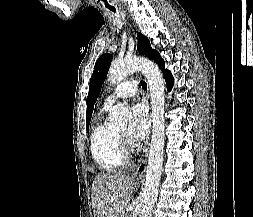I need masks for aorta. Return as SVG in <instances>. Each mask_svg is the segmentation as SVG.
Listing matches in <instances>:
<instances>
[{
  "label": "aorta",
  "instance_id": "762f6f07",
  "mask_svg": "<svg viewBox=\"0 0 253 217\" xmlns=\"http://www.w3.org/2000/svg\"><path fill=\"white\" fill-rule=\"evenodd\" d=\"M140 71L148 80L152 109V140L145 175L144 199L141 217H151L158 196L165 144V85L161 71L153 62L145 59L125 58L114 62L108 73V80L119 83L124 78ZM131 112L118 103L110 111L111 122L116 126H125Z\"/></svg>",
  "mask_w": 253,
  "mask_h": 217
}]
</instances>
